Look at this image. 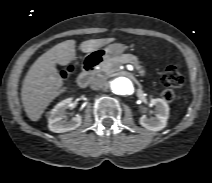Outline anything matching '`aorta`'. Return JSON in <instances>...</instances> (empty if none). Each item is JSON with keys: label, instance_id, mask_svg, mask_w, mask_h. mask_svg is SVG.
I'll return each instance as SVG.
<instances>
[{"label": "aorta", "instance_id": "1", "mask_svg": "<svg viewBox=\"0 0 212 183\" xmlns=\"http://www.w3.org/2000/svg\"><path fill=\"white\" fill-rule=\"evenodd\" d=\"M111 90L118 95H129L133 91V83L128 77H117L110 81Z\"/></svg>", "mask_w": 212, "mask_h": 183}]
</instances>
